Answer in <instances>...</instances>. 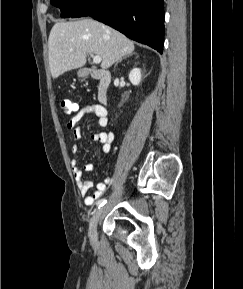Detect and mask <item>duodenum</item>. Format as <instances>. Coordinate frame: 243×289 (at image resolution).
I'll return each instance as SVG.
<instances>
[{
  "label": "duodenum",
  "instance_id": "1",
  "mask_svg": "<svg viewBox=\"0 0 243 289\" xmlns=\"http://www.w3.org/2000/svg\"><path fill=\"white\" fill-rule=\"evenodd\" d=\"M89 74L98 81L97 98L102 105H105L108 100V88L111 81L109 72L101 69H93L89 71Z\"/></svg>",
  "mask_w": 243,
  "mask_h": 289
}]
</instances>
